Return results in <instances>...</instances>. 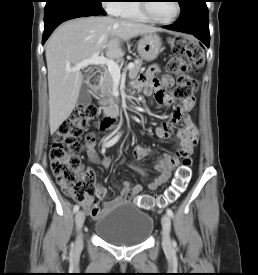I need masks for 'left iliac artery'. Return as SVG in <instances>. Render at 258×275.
<instances>
[{
	"mask_svg": "<svg viewBox=\"0 0 258 275\" xmlns=\"http://www.w3.org/2000/svg\"><path fill=\"white\" fill-rule=\"evenodd\" d=\"M166 212H167V215H168L169 217L172 218V217L174 216L173 211H172L170 208H167ZM173 245H174V246L176 245V242H175V241H173Z\"/></svg>",
	"mask_w": 258,
	"mask_h": 275,
	"instance_id": "obj_1",
	"label": "left iliac artery"
}]
</instances>
